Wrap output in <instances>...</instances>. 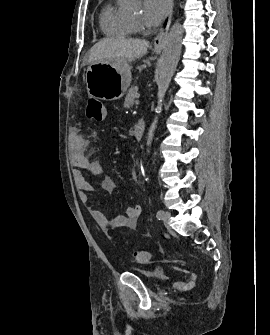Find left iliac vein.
I'll return each mask as SVG.
<instances>
[{
    "mask_svg": "<svg viewBox=\"0 0 270 335\" xmlns=\"http://www.w3.org/2000/svg\"><path fill=\"white\" fill-rule=\"evenodd\" d=\"M170 217H171V214L168 211H165L163 216L161 217V219L166 224V223H168Z\"/></svg>",
    "mask_w": 270,
    "mask_h": 335,
    "instance_id": "1",
    "label": "left iliac vein"
}]
</instances>
